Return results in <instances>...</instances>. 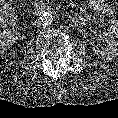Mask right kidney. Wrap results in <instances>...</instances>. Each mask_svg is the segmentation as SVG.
Here are the masks:
<instances>
[{
	"mask_svg": "<svg viewBox=\"0 0 118 118\" xmlns=\"http://www.w3.org/2000/svg\"><path fill=\"white\" fill-rule=\"evenodd\" d=\"M20 34L15 29H7L0 31V47H9L18 40Z\"/></svg>",
	"mask_w": 118,
	"mask_h": 118,
	"instance_id": "1",
	"label": "right kidney"
}]
</instances>
